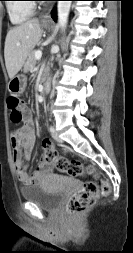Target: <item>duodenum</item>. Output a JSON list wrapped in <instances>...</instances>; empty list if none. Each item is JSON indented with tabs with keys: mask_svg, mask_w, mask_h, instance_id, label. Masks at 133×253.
Instances as JSON below:
<instances>
[{
	"mask_svg": "<svg viewBox=\"0 0 133 253\" xmlns=\"http://www.w3.org/2000/svg\"><path fill=\"white\" fill-rule=\"evenodd\" d=\"M44 80H45V76L42 77V81H44Z\"/></svg>",
	"mask_w": 133,
	"mask_h": 253,
	"instance_id": "duodenum-1",
	"label": "duodenum"
}]
</instances>
